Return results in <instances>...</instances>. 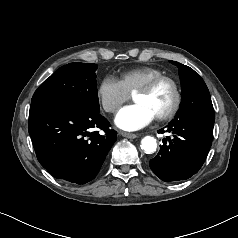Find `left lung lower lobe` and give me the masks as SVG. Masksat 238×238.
Instances as JSON below:
<instances>
[{
  "label": "left lung lower lobe",
  "instance_id": "left-lung-lower-lobe-1",
  "mask_svg": "<svg viewBox=\"0 0 238 238\" xmlns=\"http://www.w3.org/2000/svg\"><path fill=\"white\" fill-rule=\"evenodd\" d=\"M213 120H172L159 133L169 132V143L149 162L152 171L163 181L186 180L202 167L212 144Z\"/></svg>",
  "mask_w": 238,
  "mask_h": 238
}]
</instances>
